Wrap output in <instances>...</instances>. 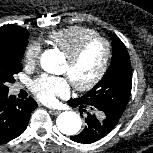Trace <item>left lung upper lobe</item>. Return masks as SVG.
Listing matches in <instances>:
<instances>
[{
    "label": "left lung upper lobe",
    "instance_id": "5c2ea615",
    "mask_svg": "<svg viewBox=\"0 0 153 153\" xmlns=\"http://www.w3.org/2000/svg\"><path fill=\"white\" fill-rule=\"evenodd\" d=\"M109 35L112 38L113 56L108 71L93 89L74 100L92 106L118 122L130 98L132 69L123 42L117 36Z\"/></svg>",
    "mask_w": 153,
    "mask_h": 153
}]
</instances>
